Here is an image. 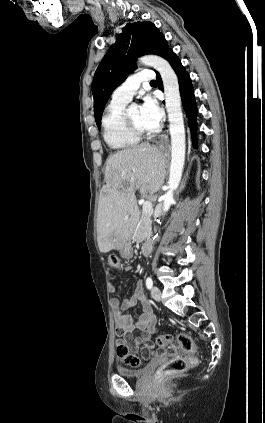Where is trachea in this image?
Instances as JSON below:
<instances>
[{
	"instance_id": "1",
	"label": "trachea",
	"mask_w": 265,
	"mask_h": 423,
	"mask_svg": "<svg viewBox=\"0 0 265 423\" xmlns=\"http://www.w3.org/2000/svg\"><path fill=\"white\" fill-rule=\"evenodd\" d=\"M150 84H157V82H156L155 80H152V81L150 82Z\"/></svg>"
}]
</instances>
